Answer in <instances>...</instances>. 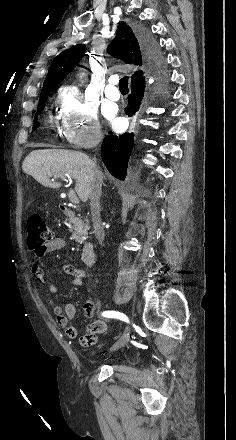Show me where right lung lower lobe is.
<instances>
[{"label":"right lung lower lobe","mask_w":236,"mask_h":440,"mask_svg":"<svg viewBox=\"0 0 236 440\" xmlns=\"http://www.w3.org/2000/svg\"><path fill=\"white\" fill-rule=\"evenodd\" d=\"M139 40L147 67L152 75L160 83L165 82V61L157 42L146 30L139 32ZM146 84L145 80L136 82L131 86L129 107L126 112L132 116L139 110L145 101ZM134 145V133L122 135H106L102 143V160L109 172L117 179L124 180L127 174V165Z\"/></svg>","instance_id":"obj_1"}]
</instances>
